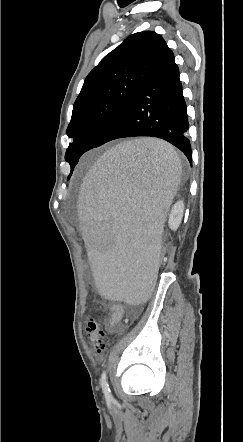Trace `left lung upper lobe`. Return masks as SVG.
Instances as JSON below:
<instances>
[{
  "mask_svg": "<svg viewBox=\"0 0 243 442\" xmlns=\"http://www.w3.org/2000/svg\"><path fill=\"white\" fill-rule=\"evenodd\" d=\"M166 47L164 39L155 32L132 34L88 74L66 131L73 138L65 154L71 172L81 155L102 137Z\"/></svg>",
  "mask_w": 243,
  "mask_h": 442,
  "instance_id": "obj_1",
  "label": "left lung upper lobe"
}]
</instances>
